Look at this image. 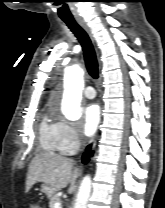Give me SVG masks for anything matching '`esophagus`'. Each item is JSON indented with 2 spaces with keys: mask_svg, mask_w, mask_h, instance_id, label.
Listing matches in <instances>:
<instances>
[{
  "mask_svg": "<svg viewBox=\"0 0 165 208\" xmlns=\"http://www.w3.org/2000/svg\"><path fill=\"white\" fill-rule=\"evenodd\" d=\"M77 22L88 33V35L92 38V33H91L89 27L87 26V24L85 23V21H83L82 19H77Z\"/></svg>",
  "mask_w": 165,
  "mask_h": 208,
  "instance_id": "34e87169",
  "label": "esophagus"
}]
</instances>
